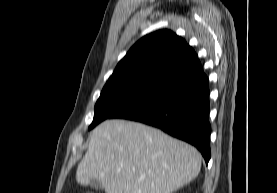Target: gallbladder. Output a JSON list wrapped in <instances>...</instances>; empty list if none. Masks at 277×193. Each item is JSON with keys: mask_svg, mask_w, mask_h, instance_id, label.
<instances>
[{"mask_svg": "<svg viewBox=\"0 0 277 193\" xmlns=\"http://www.w3.org/2000/svg\"><path fill=\"white\" fill-rule=\"evenodd\" d=\"M89 184L94 189H102L103 188L98 179H92Z\"/></svg>", "mask_w": 277, "mask_h": 193, "instance_id": "obj_1", "label": "gallbladder"}]
</instances>
